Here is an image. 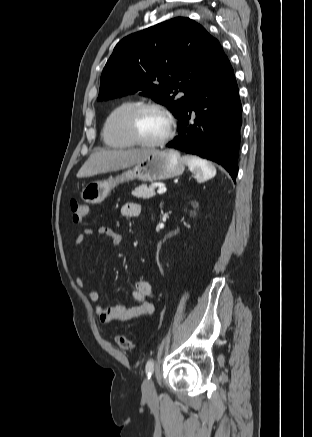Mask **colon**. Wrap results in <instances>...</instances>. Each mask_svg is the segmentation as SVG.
Segmentation results:
<instances>
[{
	"instance_id": "colon-1",
	"label": "colon",
	"mask_w": 312,
	"mask_h": 437,
	"mask_svg": "<svg viewBox=\"0 0 312 437\" xmlns=\"http://www.w3.org/2000/svg\"><path fill=\"white\" fill-rule=\"evenodd\" d=\"M70 209L72 212V220L74 223H81L89 213V206L77 200H71ZM118 346L125 351L131 350L133 345L130 339L124 335L117 336Z\"/></svg>"
}]
</instances>
